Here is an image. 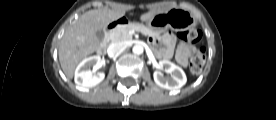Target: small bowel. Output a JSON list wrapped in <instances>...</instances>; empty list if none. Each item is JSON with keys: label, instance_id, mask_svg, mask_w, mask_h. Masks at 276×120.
<instances>
[{"label": "small bowel", "instance_id": "obj_1", "mask_svg": "<svg viewBox=\"0 0 276 120\" xmlns=\"http://www.w3.org/2000/svg\"><path fill=\"white\" fill-rule=\"evenodd\" d=\"M176 38L172 33H166L162 39V46L156 52L159 58L169 59L174 54ZM193 48L185 43H180L175 51V59L180 65H187L190 56L192 55Z\"/></svg>", "mask_w": 276, "mask_h": 120}]
</instances>
